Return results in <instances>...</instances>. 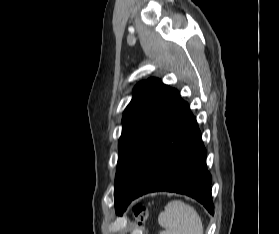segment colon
<instances>
[{
	"instance_id": "obj_1",
	"label": "colon",
	"mask_w": 279,
	"mask_h": 234,
	"mask_svg": "<svg viewBox=\"0 0 279 234\" xmlns=\"http://www.w3.org/2000/svg\"><path fill=\"white\" fill-rule=\"evenodd\" d=\"M132 210L135 216L140 219H144L147 213L146 207L141 203H135Z\"/></svg>"
}]
</instances>
